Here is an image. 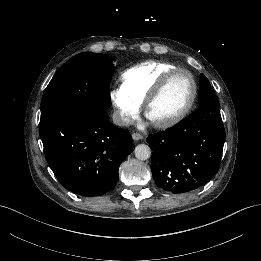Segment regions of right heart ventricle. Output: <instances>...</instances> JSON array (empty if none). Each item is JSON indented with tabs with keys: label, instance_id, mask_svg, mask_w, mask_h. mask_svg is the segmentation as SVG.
Listing matches in <instances>:
<instances>
[{
	"label": "right heart ventricle",
	"instance_id": "right-heart-ventricle-1",
	"mask_svg": "<svg viewBox=\"0 0 261 261\" xmlns=\"http://www.w3.org/2000/svg\"><path fill=\"white\" fill-rule=\"evenodd\" d=\"M174 68V65L162 61L136 64L121 74L122 88L141 104L161 77Z\"/></svg>",
	"mask_w": 261,
	"mask_h": 261
}]
</instances>
